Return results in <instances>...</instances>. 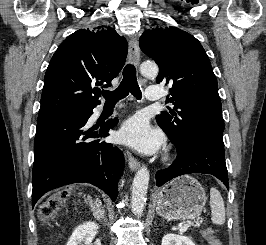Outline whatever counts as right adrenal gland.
<instances>
[{
    "label": "right adrenal gland",
    "instance_id": "2a0ac1e0",
    "mask_svg": "<svg viewBox=\"0 0 266 245\" xmlns=\"http://www.w3.org/2000/svg\"><path fill=\"white\" fill-rule=\"evenodd\" d=\"M87 199L89 201V207L93 213L94 219H96V221H104V223H108V219H106L105 211L99 199L92 201V197H90V195H88Z\"/></svg>",
    "mask_w": 266,
    "mask_h": 245
}]
</instances>
